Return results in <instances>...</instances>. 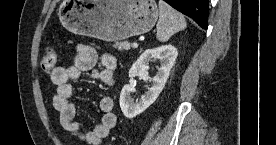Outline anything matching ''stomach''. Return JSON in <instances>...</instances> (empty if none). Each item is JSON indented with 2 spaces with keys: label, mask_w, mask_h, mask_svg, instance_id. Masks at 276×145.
I'll return each instance as SVG.
<instances>
[{
  "label": "stomach",
  "mask_w": 276,
  "mask_h": 145,
  "mask_svg": "<svg viewBox=\"0 0 276 145\" xmlns=\"http://www.w3.org/2000/svg\"><path fill=\"white\" fill-rule=\"evenodd\" d=\"M58 15L72 33L121 41L150 31L159 11L155 0H64Z\"/></svg>",
  "instance_id": "0dacf381"
}]
</instances>
